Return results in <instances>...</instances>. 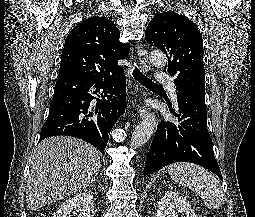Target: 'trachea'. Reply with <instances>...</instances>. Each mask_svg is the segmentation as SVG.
<instances>
[{
	"instance_id": "3493384b",
	"label": "trachea",
	"mask_w": 255,
	"mask_h": 217,
	"mask_svg": "<svg viewBox=\"0 0 255 217\" xmlns=\"http://www.w3.org/2000/svg\"><path fill=\"white\" fill-rule=\"evenodd\" d=\"M132 75L139 83H141L146 88L163 89L161 85H158L149 78H147L137 67L134 68Z\"/></svg>"
}]
</instances>
